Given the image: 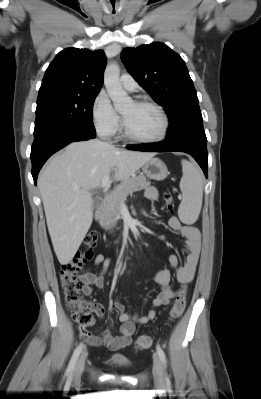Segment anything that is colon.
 Returning <instances> with one entry per match:
<instances>
[{"instance_id":"colon-1","label":"colon","mask_w":261,"mask_h":399,"mask_svg":"<svg viewBox=\"0 0 261 399\" xmlns=\"http://www.w3.org/2000/svg\"><path fill=\"white\" fill-rule=\"evenodd\" d=\"M164 204L169 210L173 209L174 201L170 193L164 194ZM97 243L98 234L89 232L84 238L85 249L78 252L71 261L63 264L60 269L62 293L72 318L80 331L86 330V328L92 324L93 315L91 305L85 303L81 298V288L77 276L83 265L92 258L93 249L96 247ZM185 307L186 298L185 295L181 293L177 296L170 310V319H178L182 315ZM151 345L152 338L146 335L139 336L135 341V348L137 350L148 349Z\"/></svg>"}]
</instances>
